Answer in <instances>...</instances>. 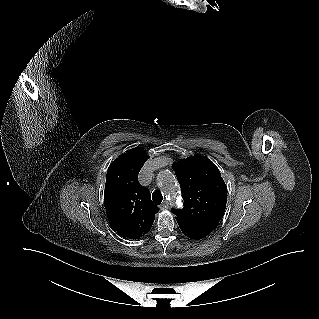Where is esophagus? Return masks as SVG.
<instances>
[{
    "label": "esophagus",
    "instance_id": "1",
    "mask_svg": "<svg viewBox=\"0 0 319 319\" xmlns=\"http://www.w3.org/2000/svg\"><path fill=\"white\" fill-rule=\"evenodd\" d=\"M160 210H167L169 208V204L167 200H164L162 204L159 206Z\"/></svg>",
    "mask_w": 319,
    "mask_h": 319
}]
</instances>
